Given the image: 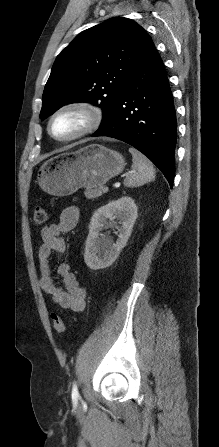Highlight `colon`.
Listing matches in <instances>:
<instances>
[{"label": "colon", "instance_id": "5ec220e1", "mask_svg": "<svg viewBox=\"0 0 219 447\" xmlns=\"http://www.w3.org/2000/svg\"><path fill=\"white\" fill-rule=\"evenodd\" d=\"M47 218L48 216L46 209L42 206H37L34 210V217H33L35 225L37 226L44 225L47 222ZM51 319L54 330L57 333H63L65 330V323L63 318L57 313H52Z\"/></svg>", "mask_w": 219, "mask_h": 447}]
</instances>
